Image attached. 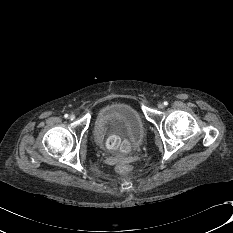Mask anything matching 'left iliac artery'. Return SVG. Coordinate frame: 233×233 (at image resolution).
<instances>
[{"label":"left iliac artery","mask_w":233,"mask_h":233,"mask_svg":"<svg viewBox=\"0 0 233 233\" xmlns=\"http://www.w3.org/2000/svg\"><path fill=\"white\" fill-rule=\"evenodd\" d=\"M164 105L167 106V105H168V102H167V101H164Z\"/></svg>","instance_id":"obj_1"}]
</instances>
